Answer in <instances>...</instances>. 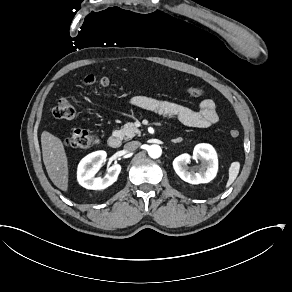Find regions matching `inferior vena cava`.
<instances>
[{
    "mask_svg": "<svg viewBox=\"0 0 292 292\" xmlns=\"http://www.w3.org/2000/svg\"><path fill=\"white\" fill-rule=\"evenodd\" d=\"M141 145V143L139 141H131L125 144L124 148L126 151H134L136 150L139 146Z\"/></svg>",
    "mask_w": 292,
    "mask_h": 292,
    "instance_id": "inferior-vena-cava-1",
    "label": "inferior vena cava"
}]
</instances>
